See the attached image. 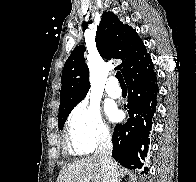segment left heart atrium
Returning <instances> with one entry per match:
<instances>
[{
  "mask_svg": "<svg viewBox=\"0 0 196 182\" xmlns=\"http://www.w3.org/2000/svg\"><path fill=\"white\" fill-rule=\"evenodd\" d=\"M107 113H108L109 118L113 121L118 120L120 117V112L115 108H109Z\"/></svg>",
  "mask_w": 196,
  "mask_h": 182,
  "instance_id": "39dd6f15",
  "label": "left heart atrium"
}]
</instances>
